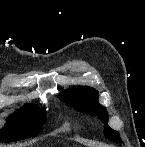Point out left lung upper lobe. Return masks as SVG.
I'll return each mask as SVG.
<instances>
[{"label": "left lung upper lobe", "instance_id": "left-lung-upper-lobe-1", "mask_svg": "<svg viewBox=\"0 0 145 147\" xmlns=\"http://www.w3.org/2000/svg\"><path fill=\"white\" fill-rule=\"evenodd\" d=\"M98 96L99 93L97 90L86 86L73 87L58 95L60 100L67 106L74 107L76 110L85 114L99 117L106 125L104 128L105 137L111 141L121 143L119 133L107 125L108 113L106 108L99 104Z\"/></svg>", "mask_w": 145, "mask_h": 147}]
</instances>
